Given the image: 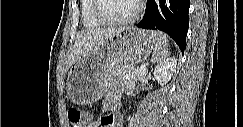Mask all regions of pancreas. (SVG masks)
<instances>
[{
    "mask_svg": "<svg viewBox=\"0 0 243 127\" xmlns=\"http://www.w3.org/2000/svg\"><path fill=\"white\" fill-rule=\"evenodd\" d=\"M140 68L135 67H125L114 73V77L117 80H121L125 83L126 88L128 90H132L134 88L135 82L138 80L141 74L139 72Z\"/></svg>",
    "mask_w": 243,
    "mask_h": 127,
    "instance_id": "obj_1",
    "label": "pancreas"
}]
</instances>
